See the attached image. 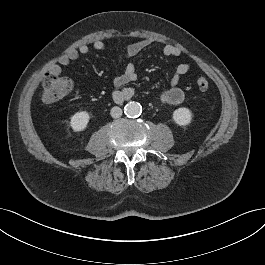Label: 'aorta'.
<instances>
[{
  "label": "aorta",
  "instance_id": "aorta-1",
  "mask_svg": "<svg viewBox=\"0 0 265 265\" xmlns=\"http://www.w3.org/2000/svg\"><path fill=\"white\" fill-rule=\"evenodd\" d=\"M125 114L130 117H138L142 112V106L138 102H129L124 108Z\"/></svg>",
  "mask_w": 265,
  "mask_h": 265
}]
</instances>
